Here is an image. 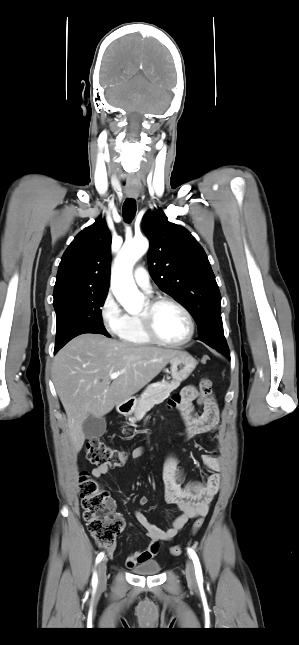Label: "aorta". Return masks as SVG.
I'll return each instance as SVG.
<instances>
[{"instance_id": "1", "label": "aorta", "mask_w": 299, "mask_h": 645, "mask_svg": "<svg viewBox=\"0 0 299 645\" xmlns=\"http://www.w3.org/2000/svg\"><path fill=\"white\" fill-rule=\"evenodd\" d=\"M148 249L144 238L126 242L117 258L112 274V291L119 303L130 313L141 309L143 295L137 289L132 276L134 264Z\"/></svg>"}]
</instances>
